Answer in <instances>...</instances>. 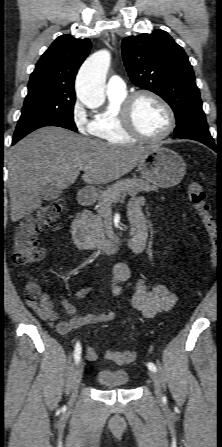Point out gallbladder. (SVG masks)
<instances>
[{
  "instance_id": "gallbladder-1",
  "label": "gallbladder",
  "mask_w": 222,
  "mask_h": 447,
  "mask_svg": "<svg viewBox=\"0 0 222 447\" xmlns=\"http://www.w3.org/2000/svg\"><path fill=\"white\" fill-rule=\"evenodd\" d=\"M62 194V189H59L51 184H48L42 189L41 197L45 201H53L59 198Z\"/></svg>"
}]
</instances>
